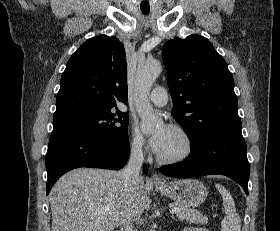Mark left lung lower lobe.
Returning a JSON list of instances; mask_svg holds the SVG:
<instances>
[{
  "instance_id": "obj_1",
  "label": "left lung lower lobe",
  "mask_w": 280,
  "mask_h": 231,
  "mask_svg": "<svg viewBox=\"0 0 280 231\" xmlns=\"http://www.w3.org/2000/svg\"><path fill=\"white\" fill-rule=\"evenodd\" d=\"M191 154L183 162L160 167L171 177L225 175L240 184L248 195L249 162L241 128L210 131L192 141Z\"/></svg>"
}]
</instances>
